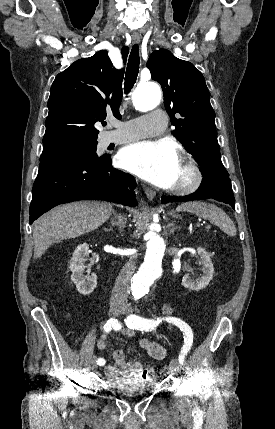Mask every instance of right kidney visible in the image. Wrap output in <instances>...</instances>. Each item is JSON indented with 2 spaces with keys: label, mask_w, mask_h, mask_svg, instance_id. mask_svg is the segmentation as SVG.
I'll list each match as a JSON object with an SVG mask.
<instances>
[{
  "label": "right kidney",
  "mask_w": 275,
  "mask_h": 429,
  "mask_svg": "<svg viewBox=\"0 0 275 429\" xmlns=\"http://www.w3.org/2000/svg\"><path fill=\"white\" fill-rule=\"evenodd\" d=\"M89 255V246L80 244L74 251L70 261L69 269L72 271L71 280L76 285L77 291L82 295L91 294L97 286V276L87 270L85 275L84 262Z\"/></svg>",
  "instance_id": "ca27d5eb"
}]
</instances>
